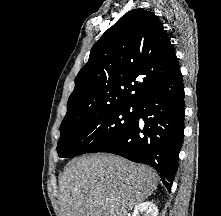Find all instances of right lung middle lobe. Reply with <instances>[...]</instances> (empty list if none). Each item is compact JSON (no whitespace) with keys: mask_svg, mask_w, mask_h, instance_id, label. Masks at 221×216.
I'll return each instance as SVG.
<instances>
[{"mask_svg":"<svg viewBox=\"0 0 221 216\" xmlns=\"http://www.w3.org/2000/svg\"><path fill=\"white\" fill-rule=\"evenodd\" d=\"M136 105L100 109L76 122L61 123L58 156L76 157L99 152L119 138L136 120Z\"/></svg>","mask_w":221,"mask_h":216,"instance_id":"1","label":"right lung middle lobe"}]
</instances>
